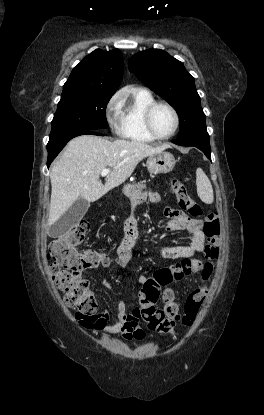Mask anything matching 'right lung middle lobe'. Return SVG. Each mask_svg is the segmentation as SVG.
Instances as JSON below:
<instances>
[{
  "label": "right lung middle lobe",
  "mask_w": 264,
  "mask_h": 415,
  "mask_svg": "<svg viewBox=\"0 0 264 415\" xmlns=\"http://www.w3.org/2000/svg\"><path fill=\"white\" fill-rule=\"evenodd\" d=\"M113 94L61 96L51 122L48 147L84 131L106 129L105 110Z\"/></svg>",
  "instance_id": "obj_1"
}]
</instances>
